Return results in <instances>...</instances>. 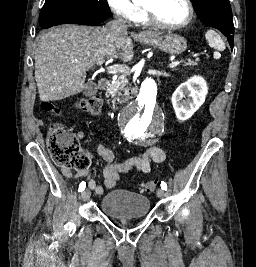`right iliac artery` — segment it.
<instances>
[{"label": "right iliac artery", "mask_w": 256, "mask_h": 267, "mask_svg": "<svg viewBox=\"0 0 256 267\" xmlns=\"http://www.w3.org/2000/svg\"><path fill=\"white\" fill-rule=\"evenodd\" d=\"M85 187H86V183L84 181L81 182L80 185H79V192L84 191Z\"/></svg>", "instance_id": "right-iliac-artery-1"}]
</instances>
